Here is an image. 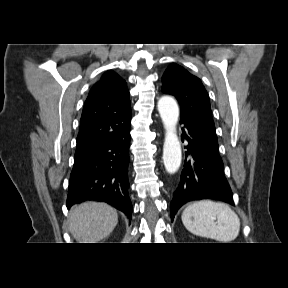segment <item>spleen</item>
I'll return each instance as SVG.
<instances>
[{"mask_svg": "<svg viewBox=\"0 0 288 288\" xmlns=\"http://www.w3.org/2000/svg\"><path fill=\"white\" fill-rule=\"evenodd\" d=\"M181 219L192 234L223 243L236 239L240 231L238 215L225 203L194 202L184 209Z\"/></svg>", "mask_w": 288, "mask_h": 288, "instance_id": "spleen-1", "label": "spleen"}]
</instances>
